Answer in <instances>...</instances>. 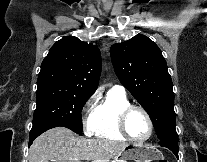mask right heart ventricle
<instances>
[{
    "mask_svg": "<svg viewBox=\"0 0 207 162\" xmlns=\"http://www.w3.org/2000/svg\"><path fill=\"white\" fill-rule=\"evenodd\" d=\"M129 104V100L125 94L110 90L106 98L95 107L92 133L101 139L125 140V137L120 134L117 128V116Z\"/></svg>",
    "mask_w": 207,
    "mask_h": 162,
    "instance_id": "obj_1",
    "label": "right heart ventricle"
}]
</instances>
